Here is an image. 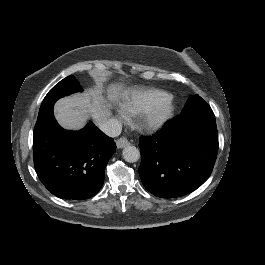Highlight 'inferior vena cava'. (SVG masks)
<instances>
[{
  "instance_id": "obj_1",
  "label": "inferior vena cava",
  "mask_w": 265,
  "mask_h": 265,
  "mask_svg": "<svg viewBox=\"0 0 265 265\" xmlns=\"http://www.w3.org/2000/svg\"><path fill=\"white\" fill-rule=\"evenodd\" d=\"M99 129L110 137H117L122 132V123L118 119H111L101 124Z\"/></svg>"
}]
</instances>
